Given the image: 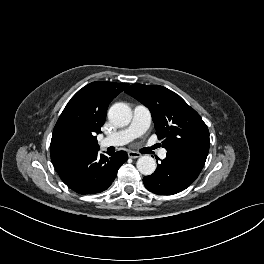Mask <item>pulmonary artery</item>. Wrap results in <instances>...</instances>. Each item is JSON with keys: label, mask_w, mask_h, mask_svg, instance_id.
Instances as JSON below:
<instances>
[{"label": "pulmonary artery", "mask_w": 264, "mask_h": 264, "mask_svg": "<svg viewBox=\"0 0 264 264\" xmlns=\"http://www.w3.org/2000/svg\"><path fill=\"white\" fill-rule=\"evenodd\" d=\"M151 124V113L149 109L143 105H137L133 110V118L131 123L126 127L100 141L101 147L120 146L129 143L133 139L143 135ZM167 151L161 149L159 157L165 159Z\"/></svg>", "instance_id": "1"}]
</instances>
